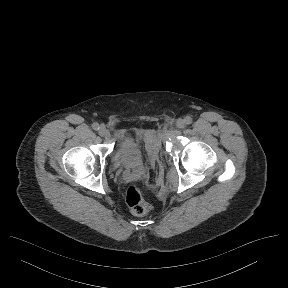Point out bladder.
<instances>
[{"label":"bladder","instance_id":"bladder-1","mask_svg":"<svg viewBox=\"0 0 288 288\" xmlns=\"http://www.w3.org/2000/svg\"><path fill=\"white\" fill-rule=\"evenodd\" d=\"M159 151L160 141L153 129L128 130L117 135L111 161L116 168L134 169L155 159Z\"/></svg>","mask_w":288,"mask_h":288}]
</instances>
